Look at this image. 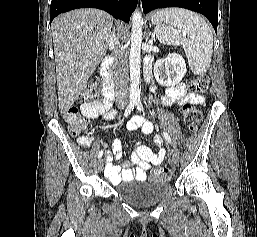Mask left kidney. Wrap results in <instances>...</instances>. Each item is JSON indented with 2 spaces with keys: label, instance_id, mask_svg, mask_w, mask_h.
Here are the masks:
<instances>
[{
  "label": "left kidney",
  "instance_id": "left-kidney-1",
  "mask_svg": "<svg viewBox=\"0 0 257 237\" xmlns=\"http://www.w3.org/2000/svg\"><path fill=\"white\" fill-rule=\"evenodd\" d=\"M187 72L185 60L180 54L169 53L164 59H159L154 64V76L162 86H175Z\"/></svg>",
  "mask_w": 257,
  "mask_h": 237
}]
</instances>
